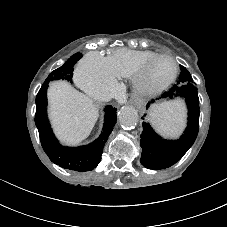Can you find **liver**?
I'll list each match as a JSON object with an SVG mask.
<instances>
[{"label": "liver", "mask_w": 227, "mask_h": 227, "mask_svg": "<svg viewBox=\"0 0 227 227\" xmlns=\"http://www.w3.org/2000/svg\"><path fill=\"white\" fill-rule=\"evenodd\" d=\"M48 99L49 116L60 141L77 145L87 138L99 116L93 101L65 82L53 83Z\"/></svg>", "instance_id": "liver-1"}]
</instances>
